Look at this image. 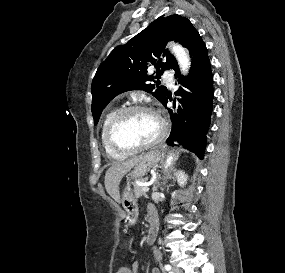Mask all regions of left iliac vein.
<instances>
[{"label":"left iliac vein","instance_id":"1","mask_svg":"<svg viewBox=\"0 0 285 273\" xmlns=\"http://www.w3.org/2000/svg\"><path fill=\"white\" fill-rule=\"evenodd\" d=\"M171 273H183V271H182V269H180V268H178V267H173Z\"/></svg>","mask_w":285,"mask_h":273}]
</instances>
